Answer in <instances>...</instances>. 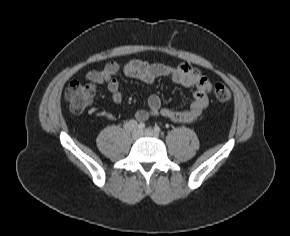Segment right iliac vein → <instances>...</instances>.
<instances>
[{"label": "right iliac vein", "mask_w": 290, "mask_h": 236, "mask_svg": "<svg viewBox=\"0 0 290 236\" xmlns=\"http://www.w3.org/2000/svg\"><path fill=\"white\" fill-rule=\"evenodd\" d=\"M142 136V132L138 129H135L132 133L133 139L137 140Z\"/></svg>", "instance_id": "1"}]
</instances>
